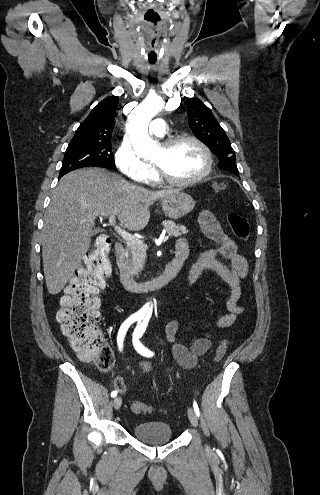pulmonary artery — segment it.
Here are the masks:
<instances>
[{
	"instance_id": "pulmonary-artery-1",
	"label": "pulmonary artery",
	"mask_w": 320,
	"mask_h": 495,
	"mask_svg": "<svg viewBox=\"0 0 320 495\" xmlns=\"http://www.w3.org/2000/svg\"><path fill=\"white\" fill-rule=\"evenodd\" d=\"M166 131V123L160 118L154 119L149 126L150 134L157 137H163L166 134Z\"/></svg>"
}]
</instances>
